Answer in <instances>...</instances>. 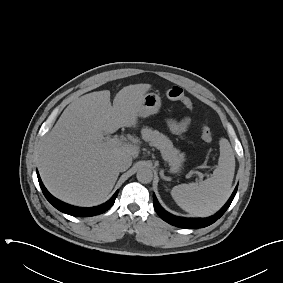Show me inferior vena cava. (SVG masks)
Returning a JSON list of instances; mask_svg holds the SVG:
<instances>
[{"instance_id": "obj_1", "label": "inferior vena cava", "mask_w": 283, "mask_h": 283, "mask_svg": "<svg viewBox=\"0 0 283 283\" xmlns=\"http://www.w3.org/2000/svg\"><path fill=\"white\" fill-rule=\"evenodd\" d=\"M132 164V158L130 157H121L116 161V168L118 171H126Z\"/></svg>"}]
</instances>
